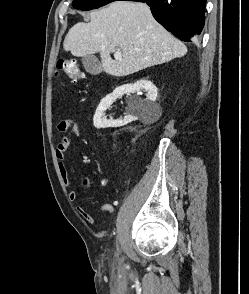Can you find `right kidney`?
<instances>
[{
    "label": "right kidney",
    "instance_id": "right-kidney-1",
    "mask_svg": "<svg viewBox=\"0 0 249 294\" xmlns=\"http://www.w3.org/2000/svg\"><path fill=\"white\" fill-rule=\"evenodd\" d=\"M140 89L147 92L145 99L134 97L129 101V110L124 119H106L104 112L111 104L123 94L134 93ZM157 87L148 79H141L134 84H125L117 87L111 94L104 97L98 105L93 117L94 126L97 129L109 127H121L132 121L155 122L161 115V108L156 103Z\"/></svg>",
    "mask_w": 249,
    "mask_h": 294
}]
</instances>
